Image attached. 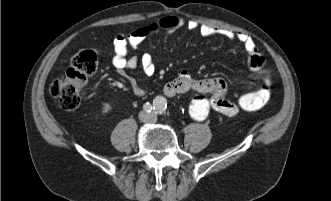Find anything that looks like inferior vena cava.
<instances>
[{"instance_id":"602c4592","label":"inferior vena cava","mask_w":331,"mask_h":201,"mask_svg":"<svg viewBox=\"0 0 331 201\" xmlns=\"http://www.w3.org/2000/svg\"><path fill=\"white\" fill-rule=\"evenodd\" d=\"M139 119L144 123H153L156 121V118L151 113L140 112Z\"/></svg>"}]
</instances>
